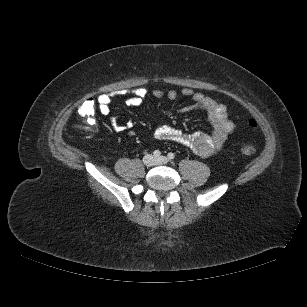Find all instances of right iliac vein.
<instances>
[{
	"label": "right iliac vein",
	"instance_id": "63e3f726",
	"mask_svg": "<svg viewBox=\"0 0 307 307\" xmlns=\"http://www.w3.org/2000/svg\"><path fill=\"white\" fill-rule=\"evenodd\" d=\"M155 158L153 157V155L151 154H147L144 158H143V163L150 167L153 166L155 164Z\"/></svg>",
	"mask_w": 307,
	"mask_h": 307
}]
</instances>
